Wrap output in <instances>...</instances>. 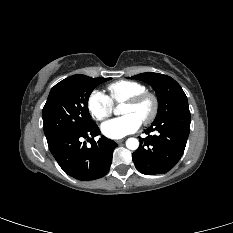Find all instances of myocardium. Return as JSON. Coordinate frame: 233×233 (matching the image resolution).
<instances>
[{"label":"myocardium","instance_id":"obj_1","mask_svg":"<svg viewBox=\"0 0 233 233\" xmlns=\"http://www.w3.org/2000/svg\"><path fill=\"white\" fill-rule=\"evenodd\" d=\"M147 99L151 100V102H152V110H151L150 114L145 119H143L141 121L145 125L153 122L158 115L159 101H158L157 96L152 92L144 91V92H141L137 95L132 96L131 98H129L125 102H123V104H127L130 106H136Z\"/></svg>","mask_w":233,"mask_h":233}]
</instances>
